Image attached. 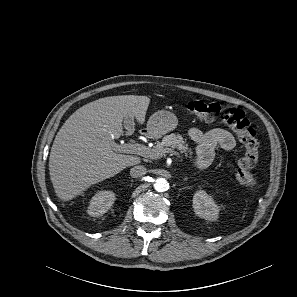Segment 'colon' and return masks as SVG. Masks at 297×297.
<instances>
[{"mask_svg":"<svg viewBox=\"0 0 297 297\" xmlns=\"http://www.w3.org/2000/svg\"><path fill=\"white\" fill-rule=\"evenodd\" d=\"M187 109L204 121H212L221 117L235 132L245 149V154L238 159L235 165L236 178L243 186L254 188L258 182V175L253 174L258 157V141L256 132L245 113L237 108L227 109L218 103L203 100L188 102Z\"/></svg>","mask_w":297,"mask_h":297,"instance_id":"obj_1","label":"colon"}]
</instances>
